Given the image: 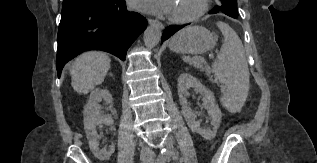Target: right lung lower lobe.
Instances as JSON below:
<instances>
[{
	"instance_id": "1",
	"label": "right lung lower lobe",
	"mask_w": 317,
	"mask_h": 163,
	"mask_svg": "<svg viewBox=\"0 0 317 163\" xmlns=\"http://www.w3.org/2000/svg\"><path fill=\"white\" fill-rule=\"evenodd\" d=\"M147 20L126 9L125 0H106L61 14L56 67L87 50L107 51L125 60L128 47L145 30Z\"/></svg>"
}]
</instances>
